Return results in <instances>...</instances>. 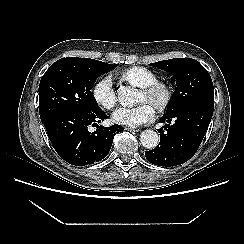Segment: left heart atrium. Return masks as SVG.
<instances>
[{
  "label": "left heart atrium",
  "instance_id": "1",
  "mask_svg": "<svg viewBox=\"0 0 244 244\" xmlns=\"http://www.w3.org/2000/svg\"><path fill=\"white\" fill-rule=\"evenodd\" d=\"M155 112L148 103L135 107H120L113 113V120L128 127H139L153 120Z\"/></svg>",
  "mask_w": 244,
  "mask_h": 244
}]
</instances>
